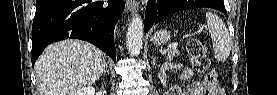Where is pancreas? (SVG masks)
<instances>
[{
    "instance_id": "1",
    "label": "pancreas",
    "mask_w": 277,
    "mask_h": 95,
    "mask_svg": "<svg viewBox=\"0 0 277 95\" xmlns=\"http://www.w3.org/2000/svg\"><path fill=\"white\" fill-rule=\"evenodd\" d=\"M178 56H179V51H178V50H171V51H169L168 54H167V58H168L169 60H172L173 58H176V57H178Z\"/></svg>"
}]
</instances>
